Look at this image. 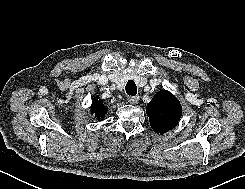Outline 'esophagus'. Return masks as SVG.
Returning <instances> with one entry per match:
<instances>
[{
  "mask_svg": "<svg viewBox=\"0 0 245 189\" xmlns=\"http://www.w3.org/2000/svg\"><path fill=\"white\" fill-rule=\"evenodd\" d=\"M138 101H139V97L138 96H131V97L128 98V102L130 104H133V105L137 104Z\"/></svg>",
  "mask_w": 245,
  "mask_h": 189,
  "instance_id": "obj_1",
  "label": "esophagus"
}]
</instances>
